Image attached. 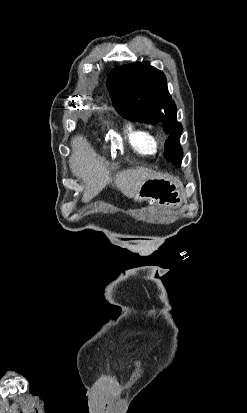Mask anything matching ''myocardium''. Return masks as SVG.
Returning a JSON list of instances; mask_svg holds the SVG:
<instances>
[{
	"mask_svg": "<svg viewBox=\"0 0 247 413\" xmlns=\"http://www.w3.org/2000/svg\"><path fill=\"white\" fill-rule=\"evenodd\" d=\"M150 144L156 149L162 145V139L158 135L150 134Z\"/></svg>",
	"mask_w": 247,
	"mask_h": 413,
	"instance_id": "myocardium-1",
	"label": "myocardium"
}]
</instances>
